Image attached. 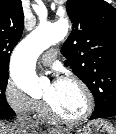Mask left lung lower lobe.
Returning <instances> with one entry per match:
<instances>
[{
	"instance_id": "obj_1",
	"label": "left lung lower lobe",
	"mask_w": 116,
	"mask_h": 134,
	"mask_svg": "<svg viewBox=\"0 0 116 134\" xmlns=\"http://www.w3.org/2000/svg\"><path fill=\"white\" fill-rule=\"evenodd\" d=\"M116 116V109L96 112L94 111L91 119H97V118H105V117H115Z\"/></svg>"
}]
</instances>
